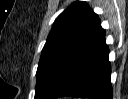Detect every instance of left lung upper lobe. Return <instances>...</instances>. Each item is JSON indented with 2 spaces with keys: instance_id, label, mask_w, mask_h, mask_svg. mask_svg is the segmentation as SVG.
Listing matches in <instances>:
<instances>
[{
  "instance_id": "5c2ea615",
  "label": "left lung upper lobe",
  "mask_w": 128,
  "mask_h": 99,
  "mask_svg": "<svg viewBox=\"0 0 128 99\" xmlns=\"http://www.w3.org/2000/svg\"><path fill=\"white\" fill-rule=\"evenodd\" d=\"M100 20L86 2L76 1L55 20L41 53L35 99H43L60 66L95 32Z\"/></svg>"
}]
</instances>
